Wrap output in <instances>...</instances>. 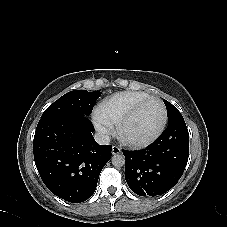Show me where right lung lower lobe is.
<instances>
[{"label": "right lung lower lobe", "instance_id": "98d812e1", "mask_svg": "<svg viewBox=\"0 0 227 227\" xmlns=\"http://www.w3.org/2000/svg\"><path fill=\"white\" fill-rule=\"evenodd\" d=\"M87 117L40 119L33 142L34 160L42 181L59 198L72 203L94 193L112 145H99Z\"/></svg>", "mask_w": 227, "mask_h": 227}]
</instances>
